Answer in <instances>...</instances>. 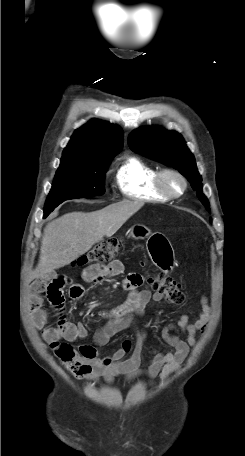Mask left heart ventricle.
Masks as SVG:
<instances>
[{"label": "left heart ventricle", "instance_id": "obj_1", "mask_svg": "<svg viewBox=\"0 0 245 456\" xmlns=\"http://www.w3.org/2000/svg\"><path fill=\"white\" fill-rule=\"evenodd\" d=\"M165 181H166V184H167L168 188L172 192L178 193V192L181 191L182 183L177 177L169 175V176L166 177Z\"/></svg>", "mask_w": 245, "mask_h": 456}]
</instances>
